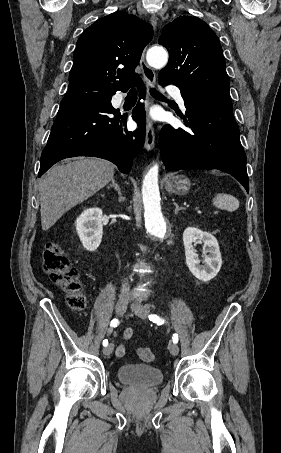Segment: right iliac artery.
<instances>
[{
  "mask_svg": "<svg viewBox=\"0 0 281 453\" xmlns=\"http://www.w3.org/2000/svg\"><path fill=\"white\" fill-rule=\"evenodd\" d=\"M117 325H118V319H113L111 321L110 326L117 327ZM107 345H108V340L107 339L103 340V346L106 347Z\"/></svg>",
  "mask_w": 281,
  "mask_h": 453,
  "instance_id": "obj_1",
  "label": "right iliac artery"
}]
</instances>
